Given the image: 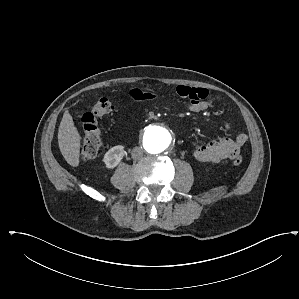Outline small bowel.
Segmentation results:
<instances>
[{
	"instance_id": "small-bowel-1",
	"label": "small bowel",
	"mask_w": 299,
	"mask_h": 299,
	"mask_svg": "<svg viewBox=\"0 0 299 299\" xmlns=\"http://www.w3.org/2000/svg\"><path fill=\"white\" fill-rule=\"evenodd\" d=\"M176 94L182 99H186V108L191 112H200L209 109L220 98L210 96L209 92L203 88H193L186 85H178ZM130 95L139 101L153 100L156 94L152 91L132 89ZM225 128L230 129V124L226 123ZM248 140L245 133L238 134L235 138H220L205 145L193 149V157L200 162L218 163L225 159H232L240 153L241 148Z\"/></svg>"
}]
</instances>
